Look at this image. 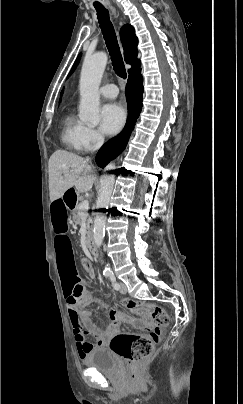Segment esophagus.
Listing matches in <instances>:
<instances>
[{"label": "esophagus", "mask_w": 243, "mask_h": 404, "mask_svg": "<svg viewBox=\"0 0 243 404\" xmlns=\"http://www.w3.org/2000/svg\"><path fill=\"white\" fill-rule=\"evenodd\" d=\"M113 15L117 18L116 10L114 7H110Z\"/></svg>", "instance_id": "esophagus-1"}]
</instances>
